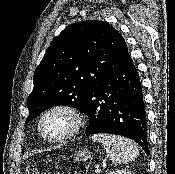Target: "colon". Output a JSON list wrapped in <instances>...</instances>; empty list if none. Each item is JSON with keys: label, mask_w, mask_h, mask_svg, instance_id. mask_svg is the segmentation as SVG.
Here are the masks:
<instances>
[{"label": "colon", "mask_w": 175, "mask_h": 174, "mask_svg": "<svg viewBox=\"0 0 175 174\" xmlns=\"http://www.w3.org/2000/svg\"><path fill=\"white\" fill-rule=\"evenodd\" d=\"M25 174H39L37 168L30 166L26 169Z\"/></svg>", "instance_id": "5ec220e1"}]
</instances>
